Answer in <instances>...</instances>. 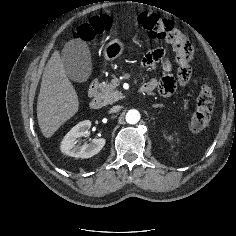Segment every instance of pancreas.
<instances>
[{
    "mask_svg": "<svg viewBox=\"0 0 236 236\" xmlns=\"http://www.w3.org/2000/svg\"><path fill=\"white\" fill-rule=\"evenodd\" d=\"M97 98L103 101L104 105L112 104L122 98V93L116 90L112 82H103L98 86Z\"/></svg>",
    "mask_w": 236,
    "mask_h": 236,
    "instance_id": "1",
    "label": "pancreas"
}]
</instances>
